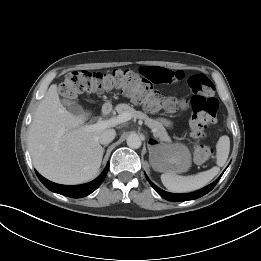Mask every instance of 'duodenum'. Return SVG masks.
<instances>
[{
    "instance_id": "duodenum-1",
    "label": "duodenum",
    "mask_w": 261,
    "mask_h": 261,
    "mask_svg": "<svg viewBox=\"0 0 261 261\" xmlns=\"http://www.w3.org/2000/svg\"><path fill=\"white\" fill-rule=\"evenodd\" d=\"M111 111V106L109 104H106L102 108V114L103 115H108Z\"/></svg>"
}]
</instances>
